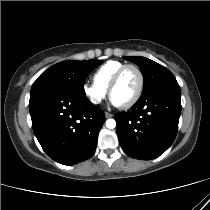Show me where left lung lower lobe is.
Returning a JSON list of instances; mask_svg holds the SVG:
<instances>
[{"mask_svg": "<svg viewBox=\"0 0 210 210\" xmlns=\"http://www.w3.org/2000/svg\"><path fill=\"white\" fill-rule=\"evenodd\" d=\"M180 113L177 81L160 84L142 94L130 110L114 115L123 151L135 159L159 157L176 137Z\"/></svg>", "mask_w": 210, "mask_h": 210, "instance_id": "1", "label": "left lung lower lobe"}]
</instances>
